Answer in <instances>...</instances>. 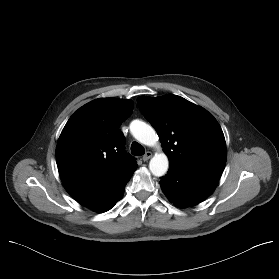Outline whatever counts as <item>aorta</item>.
Masks as SVG:
<instances>
[{
  "mask_svg": "<svg viewBox=\"0 0 279 279\" xmlns=\"http://www.w3.org/2000/svg\"><path fill=\"white\" fill-rule=\"evenodd\" d=\"M130 131L134 138L144 145L154 146L158 141L155 130L143 121H132L130 124ZM168 167L169 161L164 153L155 154L149 162V169L156 177L165 175Z\"/></svg>",
  "mask_w": 279,
  "mask_h": 279,
  "instance_id": "762f6f07",
  "label": "aorta"
}]
</instances>
